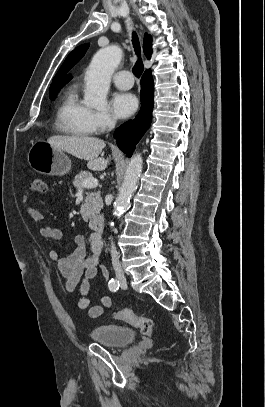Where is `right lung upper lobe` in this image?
I'll return each instance as SVG.
<instances>
[{
    "mask_svg": "<svg viewBox=\"0 0 265 407\" xmlns=\"http://www.w3.org/2000/svg\"><path fill=\"white\" fill-rule=\"evenodd\" d=\"M88 47L89 43L80 45L68 55L63 65L55 75L51 85L66 84L72 79V76L66 75V73L82 59ZM143 49L145 55L148 57V59H150V55L152 54V38L148 34H145Z\"/></svg>",
    "mask_w": 265,
    "mask_h": 407,
    "instance_id": "cb5924a9",
    "label": "right lung upper lobe"
}]
</instances>
